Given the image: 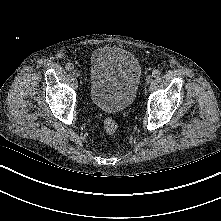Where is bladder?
Returning <instances> with one entry per match:
<instances>
[{
	"instance_id": "31cf9c89",
	"label": "bladder",
	"mask_w": 221,
	"mask_h": 221,
	"mask_svg": "<svg viewBox=\"0 0 221 221\" xmlns=\"http://www.w3.org/2000/svg\"><path fill=\"white\" fill-rule=\"evenodd\" d=\"M142 67L130 51L106 45L93 51L90 58L88 96L98 109L117 113L135 100Z\"/></svg>"
}]
</instances>
